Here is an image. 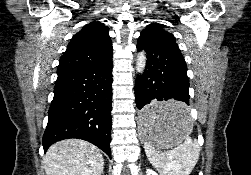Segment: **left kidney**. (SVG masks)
Masks as SVG:
<instances>
[{"label": "left kidney", "mask_w": 251, "mask_h": 175, "mask_svg": "<svg viewBox=\"0 0 251 175\" xmlns=\"http://www.w3.org/2000/svg\"><path fill=\"white\" fill-rule=\"evenodd\" d=\"M146 175H158L157 171H153V169H147Z\"/></svg>", "instance_id": "1"}]
</instances>
